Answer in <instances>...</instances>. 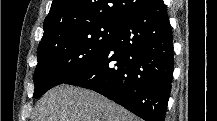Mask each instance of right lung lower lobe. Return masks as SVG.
Segmentation results:
<instances>
[{"instance_id":"98d812e1","label":"right lung lower lobe","mask_w":217,"mask_h":121,"mask_svg":"<svg viewBox=\"0 0 217 121\" xmlns=\"http://www.w3.org/2000/svg\"><path fill=\"white\" fill-rule=\"evenodd\" d=\"M173 78V38L163 0L125 18L102 54L64 84L94 90L146 121H164Z\"/></svg>"}]
</instances>
